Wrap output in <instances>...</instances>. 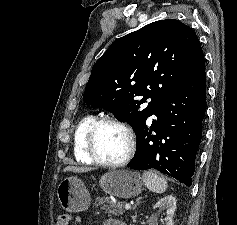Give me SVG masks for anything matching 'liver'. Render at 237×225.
Instances as JSON below:
<instances>
[{
  "instance_id": "1",
  "label": "liver",
  "mask_w": 237,
  "mask_h": 225,
  "mask_svg": "<svg viewBox=\"0 0 237 225\" xmlns=\"http://www.w3.org/2000/svg\"><path fill=\"white\" fill-rule=\"evenodd\" d=\"M93 170L92 168L77 167V166H67L64 168V172H74V173H84Z\"/></svg>"
}]
</instances>
